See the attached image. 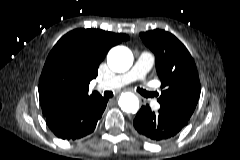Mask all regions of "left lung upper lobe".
Masks as SVG:
<instances>
[{
	"instance_id": "left-lung-upper-lobe-1",
	"label": "left lung upper lobe",
	"mask_w": 240,
	"mask_h": 160,
	"mask_svg": "<svg viewBox=\"0 0 240 160\" xmlns=\"http://www.w3.org/2000/svg\"><path fill=\"white\" fill-rule=\"evenodd\" d=\"M156 57V70L162 88L158 102L176 116L189 120L198 103L201 86L195 62L187 48L164 30L140 33Z\"/></svg>"
}]
</instances>
